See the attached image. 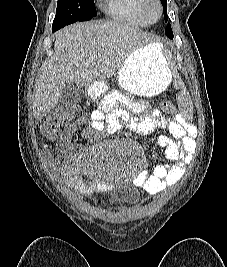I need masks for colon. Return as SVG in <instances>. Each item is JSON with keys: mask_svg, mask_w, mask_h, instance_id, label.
I'll return each mask as SVG.
<instances>
[{"mask_svg": "<svg viewBox=\"0 0 227 267\" xmlns=\"http://www.w3.org/2000/svg\"><path fill=\"white\" fill-rule=\"evenodd\" d=\"M162 104L168 111H174L172 100H163ZM79 109L76 107L65 111L55 112L47 115L40 126L41 135L49 140L61 139L63 130L67 124L78 114ZM59 144V142H58Z\"/></svg>", "mask_w": 227, "mask_h": 267, "instance_id": "5ec220e1", "label": "colon"}]
</instances>
